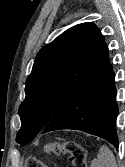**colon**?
I'll return each mask as SVG.
<instances>
[{"label": "colon", "mask_w": 125, "mask_h": 167, "mask_svg": "<svg viewBox=\"0 0 125 167\" xmlns=\"http://www.w3.org/2000/svg\"><path fill=\"white\" fill-rule=\"evenodd\" d=\"M44 151L59 155L61 153L69 155L70 164L68 167H87V152L83 146L75 142L52 143L45 146ZM25 167H48L36 156H29Z\"/></svg>", "instance_id": "colon-1"}]
</instances>
